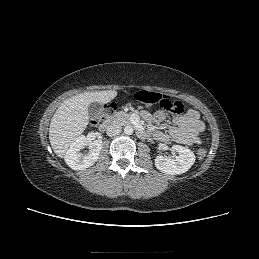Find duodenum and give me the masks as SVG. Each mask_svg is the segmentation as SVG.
Segmentation results:
<instances>
[{
  "label": "duodenum",
  "mask_w": 259,
  "mask_h": 259,
  "mask_svg": "<svg viewBox=\"0 0 259 259\" xmlns=\"http://www.w3.org/2000/svg\"><path fill=\"white\" fill-rule=\"evenodd\" d=\"M114 125V120L113 119H106L104 120L100 126H99V129L100 131H106L108 130L109 128H111L112 126ZM138 134L140 136H146L148 134L147 130L144 129V128H139L138 129Z\"/></svg>",
  "instance_id": "duodenum-1"
}]
</instances>
